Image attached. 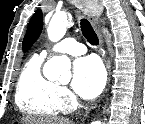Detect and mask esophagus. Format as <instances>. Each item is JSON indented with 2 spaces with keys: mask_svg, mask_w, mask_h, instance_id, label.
Masks as SVG:
<instances>
[{
  "mask_svg": "<svg viewBox=\"0 0 145 124\" xmlns=\"http://www.w3.org/2000/svg\"><path fill=\"white\" fill-rule=\"evenodd\" d=\"M84 12L88 16L89 21L91 22L94 29L96 30L99 41H100L101 50L105 53L103 36L99 30V18L103 12V6H102L101 2L100 1L92 2L91 7L88 9H84ZM105 63H106L108 72L110 74L111 64H110V60L108 59V57L106 55H105ZM95 106H96V104L92 105L89 109H86V111L84 112V116H87L89 114L90 109L94 108Z\"/></svg>",
  "mask_w": 145,
  "mask_h": 124,
  "instance_id": "obj_1",
  "label": "esophagus"
}]
</instances>
